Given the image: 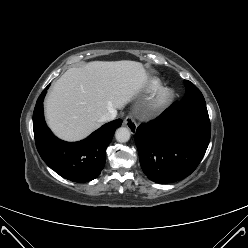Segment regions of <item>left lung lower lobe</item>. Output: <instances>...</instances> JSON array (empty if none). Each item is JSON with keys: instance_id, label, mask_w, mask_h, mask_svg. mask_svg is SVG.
Masks as SVG:
<instances>
[{"instance_id": "1", "label": "left lung lower lobe", "mask_w": 248, "mask_h": 248, "mask_svg": "<svg viewBox=\"0 0 248 248\" xmlns=\"http://www.w3.org/2000/svg\"><path fill=\"white\" fill-rule=\"evenodd\" d=\"M210 135L203 95L176 101L156 119L137 128L135 142L142 170L156 183L187 177L201 162Z\"/></svg>"}]
</instances>
